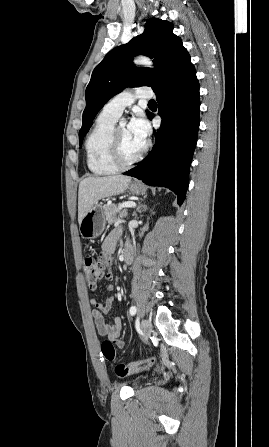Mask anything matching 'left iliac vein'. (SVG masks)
<instances>
[{
  "instance_id": "left-iliac-vein-1",
  "label": "left iliac vein",
  "mask_w": 269,
  "mask_h": 447,
  "mask_svg": "<svg viewBox=\"0 0 269 447\" xmlns=\"http://www.w3.org/2000/svg\"><path fill=\"white\" fill-rule=\"evenodd\" d=\"M141 327L144 331L145 336L143 337L145 342H148V336L150 335V331L152 328V323L147 320V319H143L141 322Z\"/></svg>"
}]
</instances>
